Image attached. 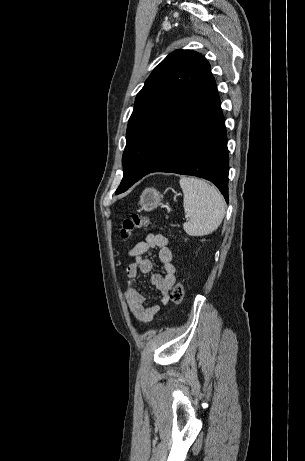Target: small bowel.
<instances>
[{
    "instance_id": "obj_1",
    "label": "small bowel",
    "mask_w": 305,
    "mask_h": 461,
    "mask_svg": "<svg viewBox=\"0 0 305 461\" xmlns=\"http://www.w3.org/2000/svg\"><path fill=\"white\" fill-rule=\"evenodd\" d=\"M169 240L162 234H148L144 241L138 242L129 252L128 256L133 261L127 266L128 281L124 290L130 314L140 322H148L162 310L169 302L168 294L175 283L176 268L173 264L172 251L168 246ZM159 249V260L163 273L153 274L150 281L159 291L158 303L146 305L144 295L139 291L137 278L140 274H148L152 269L149 254Z\"/></svg>"
}]
</instances>
